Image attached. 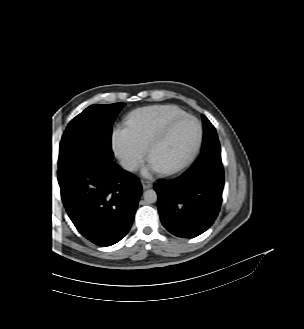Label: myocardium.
<instances>
[{
	"mask_svg": "<svg viewBox=\"0 0 304 329\" xmlns=\"http://www.w3.org/2000/svg\"><path fill=\"white\" fill-rule=\"evenodd\" d=\"M184 119H192L194 120L197 125H198V138L197 141L192 149V151L190 152V154L180 163L169 166V167H164V168H160V169H155L159 174H163V175H170V174H174L177 173L179 171H181L182 169H184L185 167H187L197 156L201 145H202V141H203V126L201 121L190 114H184L178 117H175L173 119H171L166 125L165 127L162 129L161 132H159L155 137H153L151 139V141L148 143V145L146 146L145 149V158L146 161L150 164V155L152 153V151L162 142H164L167 137L170 135L172 129L174 128L175 125H177L179 122H181Z\"/></svg>",
	"mask_w": 304,
	"mask_h": 329,
	"instance_id": "1",
	"label": "myocardium"
}]
</instances>
